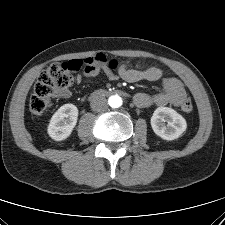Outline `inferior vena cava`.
Listing matches in <instances>:
<instances>
[{
  "mask_svg": "<svg viewBox=\"0 0 225 225\" xmlns=\"http://www.w3.org/2000/svg\"><path fill=\"white\" fill-rule=\"evenodd\" d=\"M91 108L96 112H104L108 109V103L103 96H94L91 101Z\"/></svg>",
  "mask_w": 225,
  "mask_h": 225,
  "instance_id": "602c4592",
  "label": "inferior vena cava"
}]
</instances>
